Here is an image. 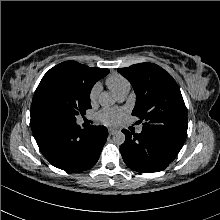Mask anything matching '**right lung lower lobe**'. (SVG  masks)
Returning <instances> with one entry per match:
<instances>
[{
    "label": "right lung lower lobe",
    "mask_w": 220,
    "mask_h": 220,
    "mask_svg": "<svg viewBox=\"0 0 220 220\" xmlns=\"http://www.w3.org/2000/svg\"><path fill=\"white\" fill-rule=\"evenodd\" d=\"M31 129L44 157L53 166L75 173L96 164L108 136L104 126L80 129L76 122L42 117L31 119Z\"/></svg>",
    "instance_id": "right-lung-lower-lobe-1"
}]
</instances>
